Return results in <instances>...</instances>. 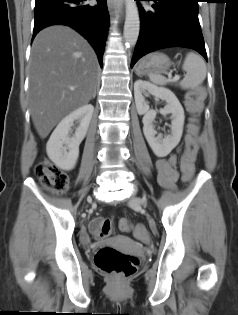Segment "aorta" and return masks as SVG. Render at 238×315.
Wrapping results in <instances>:
<instances>
[{
    "instance_id": "762f6f07",
    "label": "aorta",
    "mask_w": 238,
    "mask_h": 315,
    "mask_svg": "<svg viewBox=\"0 0 238 315\" xmlns=\"http://www.w3.org/2000/svg\"><path fill=\"white\" fill-rule=\"evenodd\" d=\"M126 16L124 24V40L129 46H134L138 40L140 31V18L136 2L126 0Z\"/></svg>"
}]
</instances>
